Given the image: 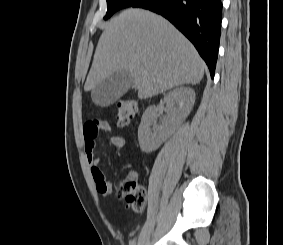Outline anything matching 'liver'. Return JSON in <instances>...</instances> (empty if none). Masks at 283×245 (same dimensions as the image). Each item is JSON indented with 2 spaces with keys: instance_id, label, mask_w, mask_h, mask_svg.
<instances>
[{
  "instance_id": "6515ba94",
  "label": "liver",
  "mask_w": 283,
  "mask_h": 245,
  "mask_svg": "<svg viewBox=\"0 0 283 245\" xmlns=\"http://www.w3.org/2000/svg\"><path fill=\"white\" fill-rule=\"evenodd\" d=\"M205 64L195 47L169 21L143 9H127L105 26L84 90L120 70L145 99L183 84H197Z\"/></svg>"
}]
</instances>
